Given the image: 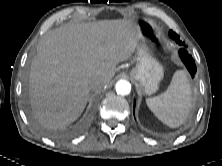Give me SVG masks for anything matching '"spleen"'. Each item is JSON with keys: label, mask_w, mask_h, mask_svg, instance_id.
<instances>
[{"label": "spleen", "mask_w": 222, "mask_h": 166, "mask_svg": "<svg viewBox=\"0 0 222 166\" xmlns=\"http://www.w3.org/2000/svg\"><path fill=\"white\" fill-rule=\"evenodd\" d=\"M146 103L162 123L171 128L182 125L191 109V87L185 72L176 71L167 90L146 98Z\"/></svg>", "instance_id": "1"}]
</instances>
